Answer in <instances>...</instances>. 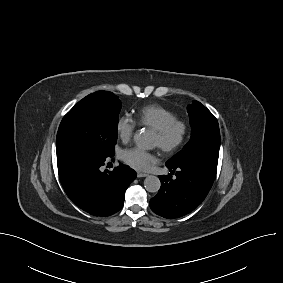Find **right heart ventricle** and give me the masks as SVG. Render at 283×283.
Segmentation results:
<instances>
[{
    "label": "right heart ventricle",
    "mask_w": 283,
    "mask_h": 283,
    "mask_svg": "<svg viewBox=\"0 0 283 283\" xmlns=\"http://www.w3.org/2000/svg\"><path fill=\"white\" fill-rule=\"evenodd\" d=\"M140 125L157 130L172 119L176 118L175 113L163 106L152 104L141 108L136 114Z\"/></svg>",
    "instance_id": "1"
}]
</instances>
